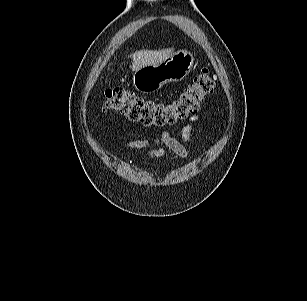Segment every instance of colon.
<instances>
[{"mask_svg":"<svg viewBox=\"0 0 307 301\" xmlns=\"http://www.w3.org/2000/svg\"><path fill=\"white\" fill-rule=\"evenodd\" d=\"M215 85V76L204 69L179 95L169 101L145 99L130 91L114 88L105 95V107L146 126H171L194 116L203 99L213 92Z\"/></svg>","mask_w":307,"mask_h":301,"instance_id":"1","label":"colon"}]
</instances>
